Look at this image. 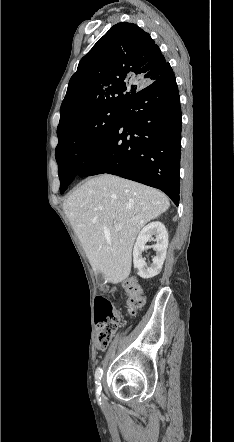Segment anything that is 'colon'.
I'll return each instance as SVG.
<instances>
[{
	"instance_id": "1",
	"label": "colon",
	"mask_w": 234,
	"mask_h": 442,
	"mask_svg": "<svg viewBox=\"0 0 234 442\" xmlns=\"http://www.w3.org/2000/svg\"><path fill=\"white\" fill-rule=\"evenodd\" d=\"M125 290L129 296V313L134 315L145 305V297L140 285L133 279L125 284ZM119 322V314L113 304L104 295H99L95 301V323L97 327L96 347L103 351L107 348L114 337Z\"/></svg>"
}]
</instances>
